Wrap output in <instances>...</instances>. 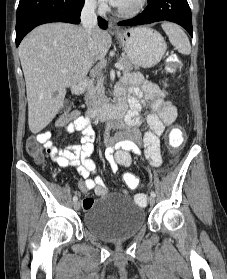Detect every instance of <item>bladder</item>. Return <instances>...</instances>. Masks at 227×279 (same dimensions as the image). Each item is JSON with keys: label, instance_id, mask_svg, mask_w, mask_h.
<instances>
[{"label": "bladder", "instance_id": "bladder-1", "mask_svg": "<svg viewBox=\"0 0 227 279\" xmlns=\"http://www.w3.org/2000/svg\"><path fill=\"white\" fill-rule=\"evenodd\" d=\"M144 224L145 211L126 195L98 198L84 215L87 232L105 241H119L134 236Z\"/></svg>", "mask_w": 227, "mask_h": 279}]
</instances>
